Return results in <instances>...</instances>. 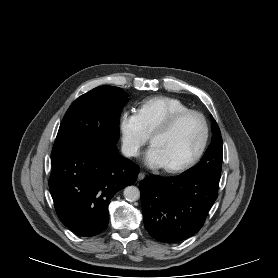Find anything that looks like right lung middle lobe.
<instances>
[{
  "label": "right lung middle lobe",
  "mask_w": 278,
  "mask_h": 278,
  "mask_svg": "<svg viewBox=\"0 0 278 278\" xmlns=\"http://www.w3.org/2000/svg\"><path fill=\"white\" fill-rule=\"evenodd\" d=\"M128 95L119 87L100 86L77 98L67 110L52 153L94 142L119 139V117Z\"/></svg>",
  "instance_id": "1"
}]
</instances>
